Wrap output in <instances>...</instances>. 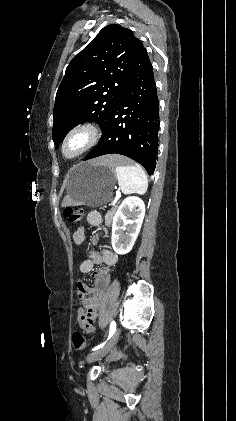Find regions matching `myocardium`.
<instances>
[{
	"label": "myocardium",
	"mask_w": 236,
	"mask_h": 421,
	"mask_svg": "<svg viewBox=\"0 0 236 421\" xmlns=\"http://www.w3.org/2000/svg\"><path fill=\"white\" fill-rule=\"evenodd\" d=\"M75 136H81L83 143L81 148L77 153L71 157L67 158L65 155V148L67 143ZM102 136L100 128L93 123H82L71 128L63 137L60 145V156L64 161L74 162L78 160L81 156L91 150L94 146L98 144Z\"/></svg>",
	"instance_id": "1"
}]
</instances>
